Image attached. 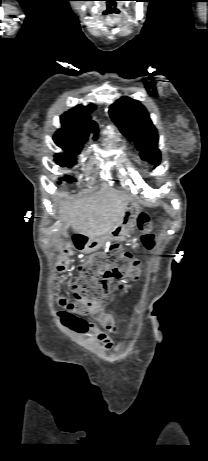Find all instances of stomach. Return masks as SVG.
Instances as JSON below:
<instances>
[{
	"instance_id": "0dacf381",
	"label": "stomach",
	"mask_w": 208,
	"mask_h": 461,
	"mask_svg": "<svg viewBox=\"0 0 208 461\" xmlns=\"http://www.w3.org/2000/svg\"><path fill=\"white\" fill-rule=\"evenodd\" d=\"M138 213V209L128 202L123 209L118 224H116L113 230L105 236L90 238L84 246V251L94 252L103 247L107 242L125 239L129 234V230L135 225Z\"/></svg>"
}]
</instances>
